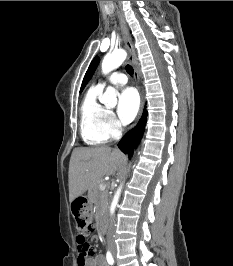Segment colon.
<instances>
[{"label":"colon","instance_id":"5ec220e1","mask_svg":"<svg viewBox=\"0 0 233 266\" xmlns=\"http://www.w3.org/2000/svg\"><path fill=\"white\" fill-rule=\"evenodd\" d=\"M92 231H94L93 226L92 228H88L87 232H81L80 234H78L76 238L78 244L80 264H82L87 257L94 255V248L87 242V234Z\"/></svg>","mask_w":233,"mask_h":266}]
</instances>
